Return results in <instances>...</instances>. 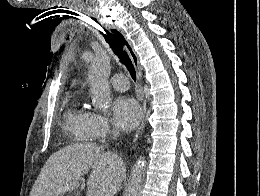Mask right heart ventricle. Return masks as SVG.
<instances>
[{
    "label": "right heart ventricle",
    "instance_id": "right-heart-ventricle-1",
    "mask_svg": "<svg viewBox=\"0 0 260 196\" xmlns=\"http://www.w3.org/2000/svg\"><path fill=\"white\" fill-rule=\"evenodd\" d=\"M89 111L78 103L70 110L67 115V123L74 129H87ZM79 143H92L91 139L82 138ZM50 192H60V190H50Z\"/></svg>",
    "mask_w": 260,
    "mask_h": 196
}]
</instances>
